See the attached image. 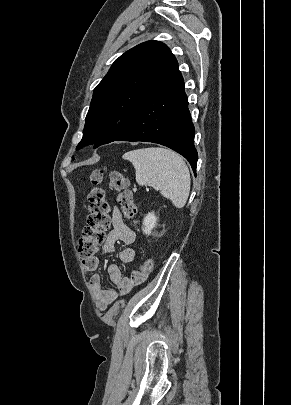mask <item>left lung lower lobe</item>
<instances>
[{"label":"left lung lower lobe","mask_w":291,"mask_h":405,"mask_svg":"<svg viewBox=\"0 0 291 405\" xmlns=\"http://www.w3.org/2000/svg\"><path fill=\"white\" fill-rule=\"evenodd\" d=\"M194 125L188 110L184 80L175 61L138 105L128 129L116 141H143L178 152L196 172Z\"/></svg>","instance_id":"obj_1"}]
</instances>
